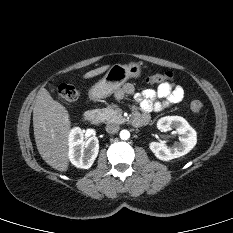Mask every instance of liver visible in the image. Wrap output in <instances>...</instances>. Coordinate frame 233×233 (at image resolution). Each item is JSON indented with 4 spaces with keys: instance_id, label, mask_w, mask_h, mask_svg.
I'll return each instance as SVG.
<instances>
[{
    "instance_id": "obj_1",
    "label": "liver",
    "mask_w": 233,
    "mask_h": 233,
    "mask_svg": "<svg viewBox=\"0 0 233 233\" xmlns=\"http://www.w3.org/2000/svg\"><path fill=\"white\" fill-rule=\"evenodd\" d=\"M109 65L87 72L88 79L102 74ZM71 121L66 108L55 101L47 89L41 88L33 108L34 138L42 159L52 168L65 172L69 166L68 136Z\"/></svg>"
}]
</instances>
